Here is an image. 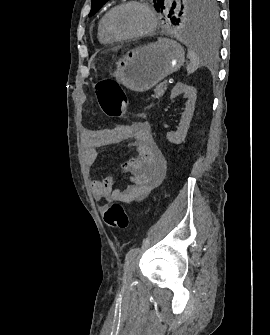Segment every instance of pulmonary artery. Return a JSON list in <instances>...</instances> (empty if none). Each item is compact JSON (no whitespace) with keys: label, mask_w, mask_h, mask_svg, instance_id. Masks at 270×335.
<instances>
[{"label":"pulmonary artery","mask_w":270,"mask_h":335,"mask_svg":"<svg viewBox=\"0 0 270 335\" xmlns=\"http://www.w3.org/2000/svg\"><path fill=\"white\" fill-rule=\"evenodd\" d=\"M165 3H166L167 5H169V4L172 3V0H165Z\"/></svg>","instance_id":"pulmonary-artery-1"}]
</instances>
